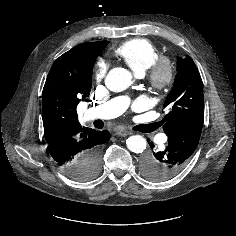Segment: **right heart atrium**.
I'll list each match as a JSON object with an SVG mask.
<instances>
[{
    "label": "right heart atrium",
    "mask_w": 236,
    "mask_h": 236,
    "mask_svg": "<svg viewBox=\"0 0 236 236\" xmlns=\"http://www.w3.org/2000/svg\"><path fill=\"white\" fill-rule=\"evenodd\" d=\"M108 64L105 60L99 59L95 63L93 70V78L96 82H100L106 75Z\"/></svg>",
    "instance_id": "right-heart-atrium-1"
}]
</instances>
